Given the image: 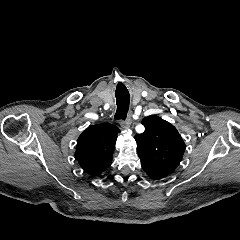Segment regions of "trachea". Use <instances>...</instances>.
I'll return each instance as SVG.
<instances>
[{"label":"trachea","instance_id":"trachea-1","mask_svg":"<svg viewBox=\"0 0 240 240\" xmlns=\"http://www.w3.org/2000/svg\"><path fill=\"white\" fill-rule=\"evenodd\" d=\"M116 100H117V110L114 118L116 120H125L127 116V111L129 108L130 95L127 89L118 90L116 89Z\"/></svg>","mask_w":240,"mask_h":240}]
</instances>
